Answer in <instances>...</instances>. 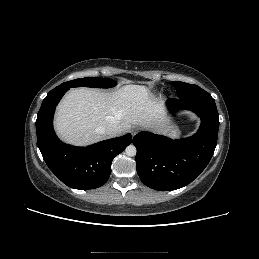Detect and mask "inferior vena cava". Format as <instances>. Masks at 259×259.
<instances>
[{"mask_svg": "<svg viewBox=\"0 0 259 259\" xmlns=\"http://www.w3.org/2000/svg\"><path fill=\"white\" fill-rule=\"evenodd\" d=\"M99 131L108 137H116L123 132V129L120 125L111 123L105 128H99Z\"/></svg>", "mask_w": 259, "mask_h": 259, "instance_id": "inferior-vena-cava-1", "label": "inferior vena cava"}]
</instances>
